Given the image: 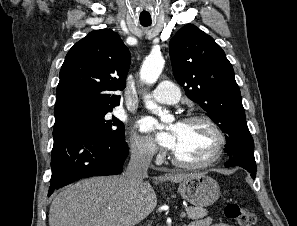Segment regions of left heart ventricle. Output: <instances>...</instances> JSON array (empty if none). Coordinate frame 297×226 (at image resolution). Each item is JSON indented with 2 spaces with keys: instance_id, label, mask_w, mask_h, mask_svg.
<instances>
[{
  "instance_id": "b2bd125f",
  "label": "left heart ventricle",
  "mask_w": 297,
  "mask_h": 226,
  "mask_svg": "<svg viewBox=\"0 0 297 226\" xmlns=\"http://www.w3.org/2000/svg\"><path fill=\"white\" fill-rule=\"evenodd\" d=\"M176 144L172 151L182 161L202 162L212 154L217 138L203 122L176 123Z\"/></svg>"
}]
</instances>
